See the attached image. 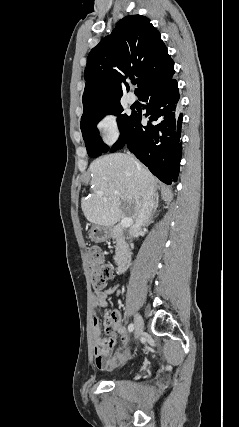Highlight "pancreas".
Wrapping results in <instances>:
<instances>
[{
  "instance_id": "obj_1",
  "label": "pancreas",
  "mask_w": 239,
  "mask_h": 427,
  "mask_svg": "<svg viewBox=\"0 0 239 427\" xmlns=\"http://www.w3.org/2000/svg\"><path fill=\"white\" fill-rule=\"evenodd\" d=\"M112 238L114 239V243L116 244V256L119 253V250L121 249V246L123 244V229L122 226L117 225L114 227V229L112 230Z\"/></svg>"
}]
</instances>
